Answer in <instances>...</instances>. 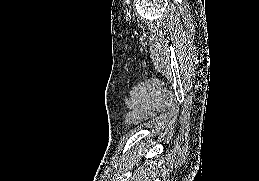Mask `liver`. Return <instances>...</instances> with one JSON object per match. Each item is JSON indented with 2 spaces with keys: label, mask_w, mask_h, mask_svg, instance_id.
<instances>
[{
  "label": "liver",
  "mask_w": 259,
  "mask_h": 181,
  "mask_svg": "<svg viewBox=\"0 0 259 181\" xmlns=\"http://www.w3.org/2000/svg\"><path fill=\"white\" fill-rule=\"evenodd\" d=\"M139 159H140V158H139ZM138 176H139L140 178L146 177V171L143 169V167H139V169H138ZM137 181H140V180H137Z\"/></svg>",
  "instance_id": "obj_1"
}]
</instances>
